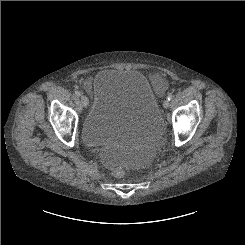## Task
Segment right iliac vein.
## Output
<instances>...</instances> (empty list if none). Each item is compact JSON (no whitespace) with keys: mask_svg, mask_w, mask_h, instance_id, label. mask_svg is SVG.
I'll list each match as a JSON object with an SVG mask.
<instances>
[{"mask_svg":"<svg viewBox=\"0 0 245 245\" xmlns=\"http://www.w3.org/2000/svg\"><path fill=\"white\" fill-rule=\"evenodd\" d=\"M80 100L83 106H87L89 103L88 98L86 96H81Z\"/></svg>","mask_w":245,"mask_h":245,"instance_id":"63e3f726","label":"right iliac vein"}]
</instances>
